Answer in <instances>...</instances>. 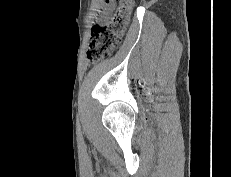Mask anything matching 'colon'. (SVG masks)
<instances>
[{
    "label": "colon",
    "instance_id": "colon-1",
    "mask_svg": "<svg viewBox=\"0 0 231 177\" xmlns=\"http://www.w3.org/2000/svg\"><path fill=\"white\" fill-rule=\"evenodd\" d=\"M117 7L102 24L93 28L87 57L90 64L97 63L112 54L119 45L130 22L135 0H106Z\"/></svg>",
    "mask_w": 231,
    "mask_h": 177
}]
</instances>
